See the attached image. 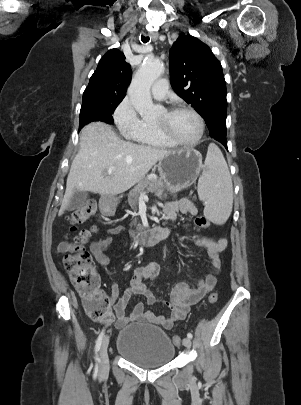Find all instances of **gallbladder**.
Segmentation results:
<instances>
[{
    "mask_svg": "<svg viewBox=\"0 0 301 405\" xmlns=\"http://www.w3.org/2000/svg\"><path fill=\"white\" fill-rule=\"evenodd\" d=\"M87 197H88V193L86 191L76 190L73 193L66 209L68 211H73L75 209L80 208L81 206H83L86 203Z\"/></svg>",
    "mask_w": 301,
    "mask_h": 405,
    "instance_id": "obj_1",
    "label": "gallbladder"
}]
</instances>
